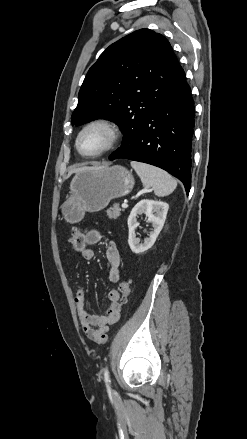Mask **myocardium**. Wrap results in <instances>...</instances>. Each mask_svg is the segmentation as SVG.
Wrapping results in <instances>:
<instances>
[{"mask_svg":"<svg viewBox=\"0 0 247 439\" xmlns=\"http://www.w3.org/2000/svg\"><path fill=\"white\" fill-rule=\"evenodd\" d=\"M103 127L104 129H106V131L109 134V140L107 142V144L100 149L97 152L94 153H84L81 148H80V139L82 137V135L89 130L90 128L93 127ZM121 138V129L119 127V125L112 119L107 118V117H98V118H94L92 120H90L89 122H87L79 131L77 137H76V141H75V146L77 151L79 152L80 155H82L83 157H87V158H94V157H98L101 156L103 154H105L106 152L112 150L117 143L119 142Z\"/></svg>","mask_w":247,"mask_h":439,"instance_id":"f54148a6","label":"myocardium"}]
</instances>
